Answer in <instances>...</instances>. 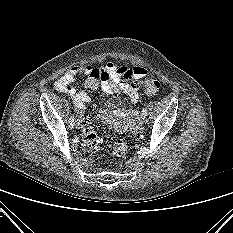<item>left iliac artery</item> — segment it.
I'll return each mask as SVG.
<instances>
[{
	"instance_id": "obj_1",
	"label": "left iliac artery",
	"mask_w": 233,
	"mask_h": 233,
	"mask_svg": "<svg viewBox=\"0 0 233 233\" xmlns=\"http://www.w3.org/2000/svg\"><path fill=\"white\" fill-rule=\"evenodd\" d=\"M147 113H148V112H147V109H146V108H143V109H142V115L146 116Z\"/></svg>"
}]
</instances>
